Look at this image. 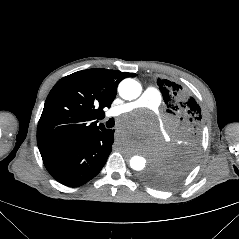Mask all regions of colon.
Returning a JSON list of instances; mask_svg holds the SVG:
<instances>
[{
    "label": "colon",
    "instance_id": "colon-1",
    "mask_svg": "<svg viewBox=\"0 0 239 239\" xmlns=\"http://www.w3.org/2000/svg\"><path fill=\"white\" fill-rule=\"evenodd\" d=\"M189 109H190V110L193 109V106L191 105Z\"/></svg>",
    "mask_w": 239,
    "mask_h": 239
}]
</instances>
